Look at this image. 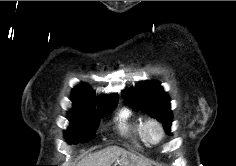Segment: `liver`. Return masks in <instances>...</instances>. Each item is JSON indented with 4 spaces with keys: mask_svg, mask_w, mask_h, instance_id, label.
<instances>
[{
    "mask_svg": "<svg viewBox=\"0 0 236 166\" xmlns=\"http://www.w3.org/2000/svg\"><path fill=\"white\" fill-rule=\"evenodd\" d=\"M132 155L128 151L117 147H107L99 152L90 154L87 157L83 158L77 163L76 166H111L116 160L121 156ZM133 156L132 165L135 166H148V163L142 159Z\"/></svg>",
    "mask_w": 236,
    "mask_h": 166,
    "instance_id": "1",
    "label": "liver"
}]
</instances>
